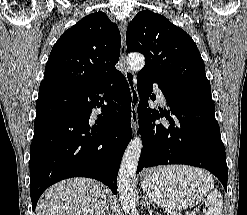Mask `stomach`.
I'll list each match as a JSON object with an SVG mask.
<instances>
[{"label": "stomach", "instance_id": "1", "mask_svg": "<svg viewBox=\"0 0 247 215\" xmlns=\"http://www.w3.org/2000/svg\"><path fill=\"white\" fill-rule=\"evenodd\" d=\"M204 171L167 166L150 170L142 186L145 194L158 205L175 210L197 205L212 187V180Z\"/></svg>", "mask_w": 247, "mask_h": 215}]
</instances>
